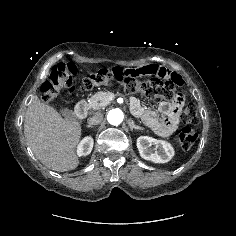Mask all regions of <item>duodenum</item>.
Masks as SVG:
<instances>
[{
	"label": "duodenum",
	"mask_w": 236,
	"mask_h": 236,
	"mask_svg": "<svg viewBox=\"0 0 236 236\" xmlns=\"http://www.w3.org/2000/svg\"><path fill=\"white\" fill-rule=\"evenodd\" d=\"M75 113L81 119L86 118L88 113V106L85 100H80L75 105Z\"/></svg>",
	"instance_id": "1"
}]
</instances>
